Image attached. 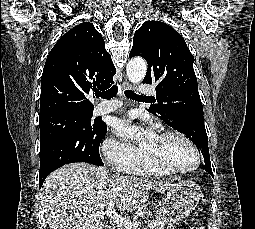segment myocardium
Returning <instances> with one entry per match:
<instances>
[{"label":"myocardium","instance_id":"1","mask_svg":"<svg viewBox=\"0 0 255 229\" xmlns=\"http://www.w3.org/2000/svg\"><path fill=\"white\" fill-rule=\"evenodd\" d=\"M159 136H176L180 139H182L184 142H186L191 149L193 150L195 154V161L192 165L184 168H173V167H168L160 163L159 161L154 160L151 158L142 148H141V155L145 159L147 163H149L151 166L154 168L167 173V175H182L188 172H191L195 170L201 163V153L196 144L183 132H180L178 130H165L162 131Z\"/></svg>","mask_w":255,"mask_h":229}]
</instances>
